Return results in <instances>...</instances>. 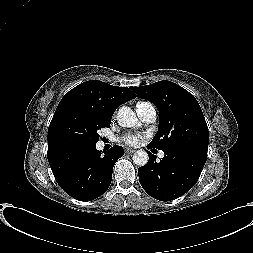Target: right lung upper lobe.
<instances>
[{"mask_svg":"<svg viewBox=\"0 0 253 253\" xmlns=\"http://www.w3.org/2000/svg\"><path fill=\"white\" fill-rule=\"evenodd\" d=\"M135 97L128 87L112 86L97 80L86 81L63 96L54 116L66 109H78L111 120L118 106Z\"/></svg>","mask_w":253,"mask_h":253,"instance_id":"1","label":"right lung upper lobe"}]
</instances>
